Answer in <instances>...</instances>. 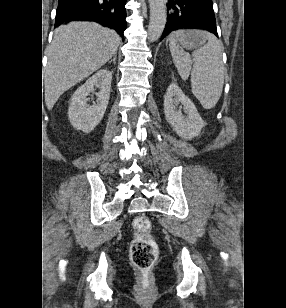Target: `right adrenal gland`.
Here are the masks:
<instances>
[{"label": "right adrenal gland", "instance_id": "obj_1", "mask_svg": "<svg viewBox=\"0 0 286 308\" xmlns=\"http://www.w3.org/2000/svg\"><path fill=\"white\" fill-rule=\"evenodd\" d=\"M116 58H117V54L113 56V59H111L109 63L113 62L114 64H116Z\"/></svg>", "mask_w": 286, "mask_h": 308}]
</instances>
